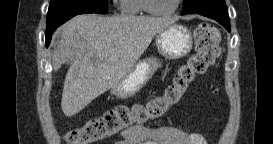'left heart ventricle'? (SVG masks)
Segmentation results:
<instances>
[{
	"label": "left heart ventricle",
	"instance_id": "b2bd125f",
	"mask_svg": "<svg viewBox=\"0 0 273 144\" xmlns=\"http://www.w3.org/2000/svg\"><path fill=\"white\" fill-rule=\"evenodd\" d=\"M176 0H154L152 5L158 10H169L175 5Z\"/></svg>",
	"mask_w": 273,
	"mask_h": 144
}]
</instances>
